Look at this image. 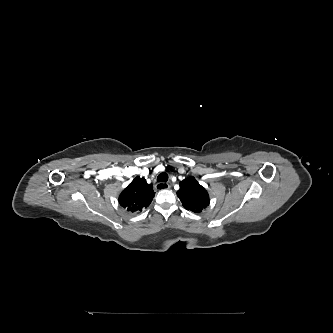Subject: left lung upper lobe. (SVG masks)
<instances>
[{
  "instance_id": "1",
  "label": "left lung upper lobe",
  "mask_w": 333,
  "mask_h": 333,
  "mask_svg": "<svg viewBox=\"0 0 333 333\" xmlns=\"http://www.w3.org/2000/svg\"><path fill=\"white\" fill-rule=\"evenodd\" d=\"M180 189L177 196L187 210L201 212L209 205L207 191L196 181L194 177H188L179 183Z\"/></svg>"
}]
</instances>
